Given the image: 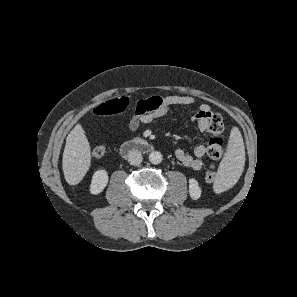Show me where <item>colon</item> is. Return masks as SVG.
Listing matches in <instances>:
<instances>
[{
    "mask_svg": "<svg viewBox=\"0 0 297 297\" xmlns=\"http://www.w3.org/2000/svg\"><path fill=\"white\" fill-rule=\"evenodd\" d=\"M129 105V101L125 97H118L109 100L94 109V113L98 116L117 115L123 113ZM150 108V102L145 100L138 101L135 106V114H144ZM209 131L211 137L208 140L207 154L212 160H218L223 153L225 141L222 136L223 131V118L218 112H212L209 117ZM105 154V148L103 146H97L93 150L95 157H102ZM215 173L208 171L205 175L207 183L212 184L215 180Z\"/></svg>",
    "mask_w": 297,
    "mask_h": 297,
    "instance_id": "obj_1",
    "label": "colon"
}]
</instances>
